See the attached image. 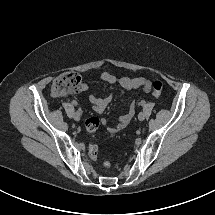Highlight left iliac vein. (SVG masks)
Here are the masks:
<instances>
[{
    "mask_svg": "<svg viewBox=\"0 0 215 215\" xmlns=\"http://www.w3.org/2000/svg\"><path fill=\"white\" fill-rule=\"evenodd\" d=\"M138 119H139L140 121L144 120V119H145V115H144L143 113H139V114H138Z\"/></svg>",
    "mask_w": 215,
    "mask_h": 215,
    "instance_id": "obj_1",
    "label": "left iliac vein"
}]
</instances>
